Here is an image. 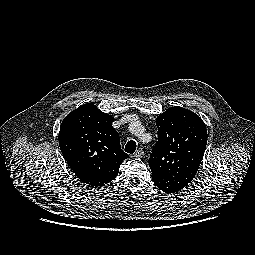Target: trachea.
I'll use <instances>...</instances> for the list:
<instances>
[{
    "label": "trachea",
    "mask_w": 255,
    "mask_h": 255,
    "mask_svg": "<svg viewBox=\"0 0 255 255\" xmlns=\"http://www.w3.org/2000/svg\"><path fill=\"white\" fill-rule=\"evenodd\" d=\"M135 150H136V142L133 140L128 141L125 146V152L133 154Z\"/></svg>",
    "instance_id": "3493384b"
}]
</instances>
